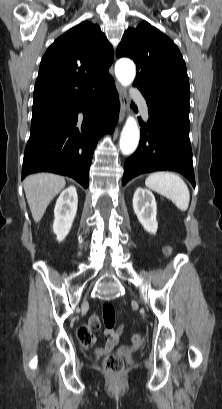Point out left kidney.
<instances>
[{"label": "left kidney", "mask_w": 222, "mask_h": 409, "mask_svg": "<svg viewBox=\"0 0 222 409\" xmlns=\"http://www.w3.org/2000/svg\"><path fill=\"white\" fill-rule=\"evenodd\" d=\"M133 209L143 228L148 233L155 234L158 223L157 205L153 193L148 189L137 188L133 196Z\"/></svg>", "instance_id": "left-kidney-1"}]
</instances>
